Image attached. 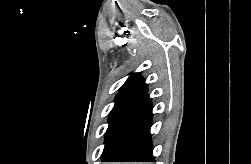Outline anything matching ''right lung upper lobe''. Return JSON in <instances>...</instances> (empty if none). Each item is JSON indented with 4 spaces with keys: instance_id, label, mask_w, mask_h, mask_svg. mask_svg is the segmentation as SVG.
<instances>
[{
    "instance_id": "1",
    "label": "right lung upper lobe",
    "mask_w": 251,
    "mask_h": 164,
    "mask_svg": "<svg viewBox=\"0 0 251 164\" xmlns=\"http://www.w3.org/2000/svg\"><path fill=\"white\" fill-rule=\"evenodd\" d=\"M120 91H133V92H140L145 93L147 92V85L145 81L140 76L139 73L132 74L124 85L120 88Z\"/></svg>"
}]
</instances>
